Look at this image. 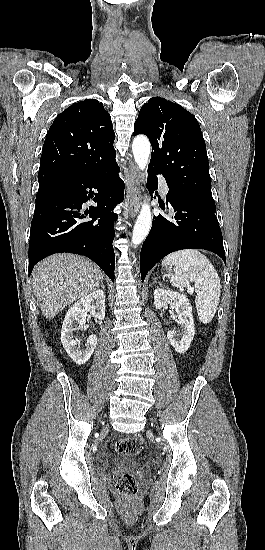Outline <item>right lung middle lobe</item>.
<instances>
[{
    "instance_id": "1",
    "label": "right lung middle lobe",
    "mask_w": 265,
    "mask_h": 550,
    "mask_svg": "<svg viewBox=\"0 0 265 550\" xmlns=\"http://www.w3.org/2000/svg\"><path fill=\"white\" fill-rule=\"evenodd\" d=\"M55 185H45V186H40L39 189H38V193H37V196L36 197H39L40 195L44 194L45 192H47L48 190H50L51 188H53Z\"/></svg>"
}]
</instances>
